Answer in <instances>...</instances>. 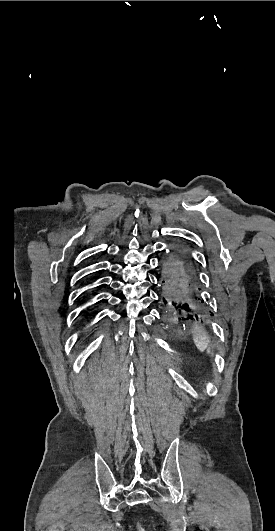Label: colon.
<instances>
[{"label": "colon", "instance_id": "colon-1", "mask_svg": "<svg viewBox=\"0 0 275 531\" xmlns=\"http://www.w3.org/2000/svg\"><path fill=\"white\" fill-rule=\"evenodd\" d=\"M135 530L136 531H144V529L141 526H139V525L135 528Z\"/></svg>", "mask_w": 275, "mask_h": 531}]
</instances>
